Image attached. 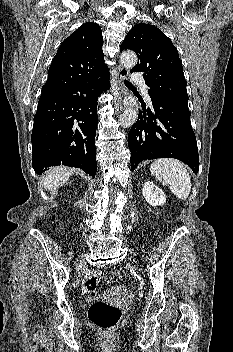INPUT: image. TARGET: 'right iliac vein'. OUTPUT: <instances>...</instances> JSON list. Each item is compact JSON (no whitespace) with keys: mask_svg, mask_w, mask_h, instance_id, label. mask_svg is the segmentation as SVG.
Segmentation results:
<instances>
[{"mask_svg":"<svg viewBox=\"0 0 233 352\" xmlns=\"http://www.w3.org/2000/svg\"><path fill=\"white\" fill-rule=\"evenodd\" d=\"M84 264V259L81 257L77 260V267L78 269H81Z\"/></svg>","mask_w":233,"mask_h":352,"instance_id":"obj_1","label":"right iliac vein"}]
</instances>
